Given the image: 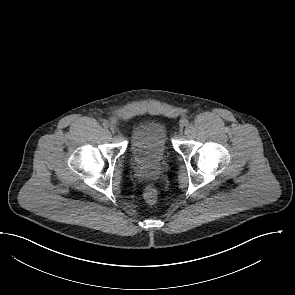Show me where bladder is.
Returning a JSON list of instances; mask_svg holds the SVG:
<instances>
[{
	"instance_id": "bladder-1",
	"label": "bladder",
	"mask_w": 295,
	"mask_h": 295,
	"mask_svg": "<svg viewBox=\"0 0 295 295\" xmlns=\"http://www.w3.org/2000/svg\"><path fill=\"white\" fill-rule=\"evenodd\" d=\"M168 128L157 118H147L138 124L129 137V150L138 165L161 162L167 152Z\"/></svg>"
}]
</instances>
